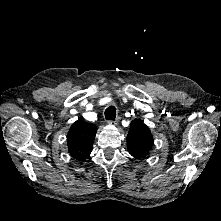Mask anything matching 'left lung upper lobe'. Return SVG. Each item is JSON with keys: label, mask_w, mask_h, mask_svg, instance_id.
I'll return each mask as SVG.
<instances>
[{"label": "left lung upper lobe", "mask_w": 221, "mask_h": 221, "mask_svg": "<svg viewBox=\"0 0 221 221\" xmlns=\"http://www.w3.org/2000/svg\"><path fill=\"white\" fill-rule=\"evenodd\" d=\"M154 144L150 129L139 120L130 123L127 135V147L129 153L136 159L145 158L152 150Z\"/></svg>", "instance_id": "1"}]
</instances>
